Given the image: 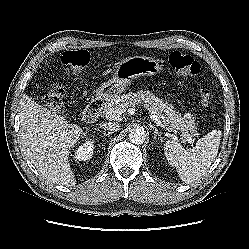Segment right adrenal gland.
<instances>
[{
  "label": "right adrenal gland",
  "mask_w": 249,
  "mask_h": 249,
  "mask_svg": "<svg viewBox=\"0 0 249 249\" xmlns=\"http://www.w3.org/2000/svg\"><path fill=\"white\" fill-rule=\"evenodd\" d=\"M97 131H99L100 133H102L105 137L106 136H108V135H110V134H112V132H106V131H104V130H100L99 128L98 129H96Z\"/></svg>",
  "instance_id": "2a0ac1e0"
}]
</instances>
